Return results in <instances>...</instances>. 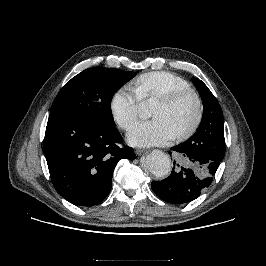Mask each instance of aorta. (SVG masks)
Returning <instances> with one entry per match:
<instances>
[{
  "label": "aorta",
  "mask_w": 266,
  "mask_h": 266,
  "mask_svg": "<svg viewBox=\"0 0 266 266\" xmlns=\"http://www.w3.org/2000/svg\"><path fill=\"white\" fill-rule=\"evenodd\" d=\"M170 158L160 150L152 151L145 161L148 170L156 177H164L170 172Z\"/></svg>",
  "instance_id": "obj_1"
}]
</instances>
